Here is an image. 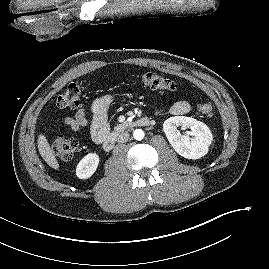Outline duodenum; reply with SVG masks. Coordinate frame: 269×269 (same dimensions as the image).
I'll list each match as a JSON object with an SVG mask.
<instances>
[{"label":"duodenum","mask_w":269,"mask_h":269,"mask_svg":"<svg viewBox=\"0 0 269 269\" xmlns=\"http://www.w3.org/2000/svg\"><path fill=\"white\" fill-rule=\"evenodd\" d=\"M151 124V121L149 118L147 117H142L136 121H134L133 123L129 124V125H123L121 126L118 130L110 132L106 135V137L103 140V148L106 151H110L117 140L118 135L123 132L127 127L130 126H149Z\"/></svg>","instance_id":"obj_1"}]
</instances>
